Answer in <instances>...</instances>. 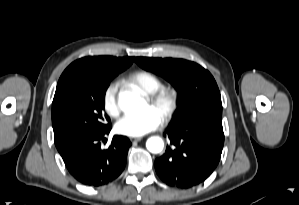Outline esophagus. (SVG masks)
I'll use <instances>...</instances> for the list:
<instances>
[{
    "label": "esophagus",
    "instance_id": "obj_1",
    "mask_svg": "<svg viewBox=\"0 0 299 205\" xmlns=\"http://www.w3.org/2000/svg\"><path fill=\"white\" fill-rule=\"evenodd\" d=\"M140 140H142V137H130L131 142H137V141H140Z\"/></svg>",
    "mask_w": 299,
    "mask_h": 205
}]
</instances>
